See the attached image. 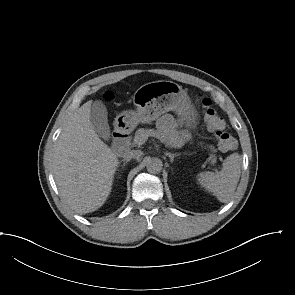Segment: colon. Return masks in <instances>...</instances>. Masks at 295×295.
Listing matches in <instances>:
<instances>
[{
    "label": "colon",
    "instance_id": "1",
    "mask_svg": "<svg viewBox=\"0 0 295 295\" xmlns=\"http://www.w3.org/2000/svg\"><path fill=\"white\" fill-rule=\"evenodd\" d=\"M199 103L203 109L204 121L207 127L214 132L219 147L224 150H233L236 147L234 137L225 130L224 119L216 112L212 106V101L208 97L201 96Z\"/></svg>",
    "mask_w": 295,
    "mask_h": 295
}]
</instances>
